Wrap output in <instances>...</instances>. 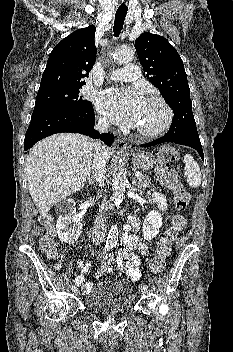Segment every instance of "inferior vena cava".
Instances as JSON below:
<instances>
[{"mask_svg": "<svg viewBox=\"0 0 233 352\" xmlns=\"http://www.w3.org/2000/svg\"><path fill=\"white\" fill-rule=\"evenodd\" d=\"M109 128V122L104 118H99L95 129L99 132H106ZM93 177L99 186L104 184V174L106 170V159L104 157L102 144L100 141L94 142L93 159H92ZM105 213L101 212L95 221V230L92 233V240L96 244L103 241L105 236Z\"/></svg>", "mask_w": 233, "mask_h": 352, "instance_id": "obj_1", "label": "inferior vena cava"}]
</instances>
